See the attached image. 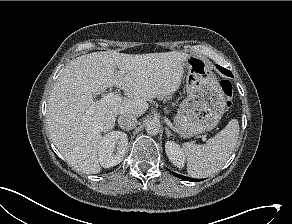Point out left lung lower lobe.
<instances>
[{
	"instance_id": "0a47b994",
	"label": "left lung lower lobe",
	"mask_w": 292,
	"mask_h": 224,
	"mask_svg": "<svg viewBox=\"0 0 292 224\" xmlns=\"http://www.w3.org/2000/svg\"><path fill=\"white\" fill-rule=\"evenodd\" d=\"M217 67H218V69H219L220 71L223 72V69H222L221 67H219L218 65H217ZM172 173H173L174 176H176V177H178V178H180V179H184V180H187V181H194V182H196V181H200V180H198V179H193V178L185 177V176H182V175H180V174H176V173H174V172H172Z\"/></svg>"
}]
</instances>
